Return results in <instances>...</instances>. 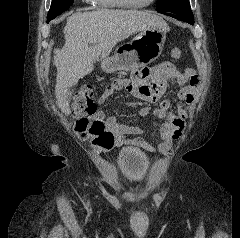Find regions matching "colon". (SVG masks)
Returning <instances> with one entry per match:
<instances>
[{
  "label": "colon",
  "mask_w": 240,
  "mask_h": 238,
  "mask_svg": "<svg viewBox=\"0 0 240 238\" xmlns=\"http://www.w3.org/2000/svg\"><path fill=\"white\" fill-rule=\"evenodd\" d=\"M169 54L172 59H179L181 57V49L172 47ZM71 110L75 119V129L82 136L91 138L93 144L100 148H106L113 143L114 138L112 134L107 131L105 123L102 120L93 118L96 107L91 86H83L73 96Z\"/></svg>",
  "instance_id": "5ec220e1"
}]
</instances>
